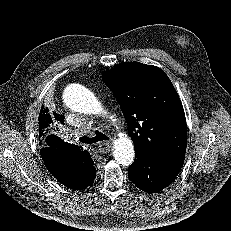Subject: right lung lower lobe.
<instances>
[{"label":"right lung lower lobe","instance_id":"obj_1","mask_svg":"<svg viewBox=\"0 0 231 231\" xmlns=\"http://www.w3.org/2000/svg\"><path fill=\"white\" fill-rule=\"evenodd\" d=\"M86 162H88L89 165H87L88 166V172H87L88 174L86 176V181L84 183V188L90 186L94 182L95 173H96V168L94 167V162L91 159L90 154H89V156H87Z\"/></svg>","mask_w":231,"mask_h":231}]
</instances>
